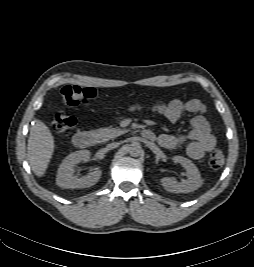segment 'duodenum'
Segmentation results:
<instances>
[{"instance_id":"1","label":"duodenum","mask_w":254,"mask_h":267,"mask_svg":"<svg viewBox=\"0 0 254 267\" xmlns=\"http://www.w3.org/2000/svg\"><path fill=\"white\" fill-rule=\"evenodd\" d=\"M141 134L147 140L155 139V135L150 130H143ZM73 142L79 148H89L95 145L96 137L90 131H79L74 135Z\"/></svg>"}]
</instances>
